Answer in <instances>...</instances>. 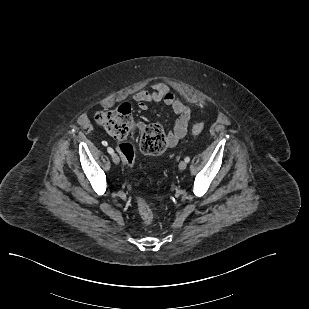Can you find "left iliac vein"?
<instances>
[{"label":"left iliac vein","instance_id":"4c4485c4","mask_svg":"<svg viewBox=\"0 0 309 309\" xmlns=\"http://www.w3.org/2000/svg\"><path fill=\"white\" fill-rule=\"evenodd\" d=\"M186 167H187V162L186 161H181L179 163V169L180 170H184V169H186Z\"/></svg>","mask_w":309,"mask_h":309}]
</instances>
